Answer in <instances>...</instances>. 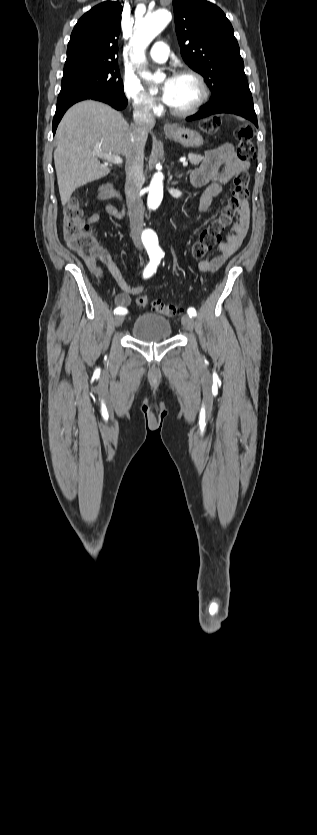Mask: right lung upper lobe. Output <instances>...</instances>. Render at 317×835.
Returning <instances> with one entry per match:
<instances>
[{
  "mask_svg": "<svg viewBox=\"0 0 317 835\" xmlns=\"http://www.w3.org/2000/svg\"><path fill=\"white\" fill-rule=\"evenodd\" d=\"M122 10L118 2L106 1L85 13L72 31L65 64H117Z\"/></svg>",
  "mask_w": 317,
  "mask_h": 835,
  "instance_id": "right-lung-upper-lobe-1",
  "label": "right lung upper lobe"
}]
</instances>
